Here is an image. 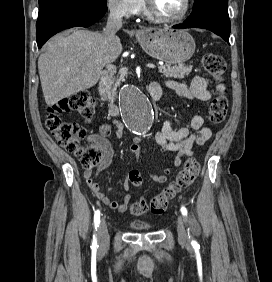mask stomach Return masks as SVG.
I'll list each match as a JSON object with an SVG mask.
<instances>
[{"label":"stomach","instance_id":"0dacf381","mask_svg":"<svg viewBox=\"0 0 272 282\" xmlns=\"http://www.w3.org/2000/svg\"><path fill=\"white\" fill-rule=\"evenodd\" d=\"M143 50L167 64H182L192 57L195 41L185 30L171 28H146L136 32Z\"/></svg>","mask_w":272,"mask_h":282}]
</instances>
